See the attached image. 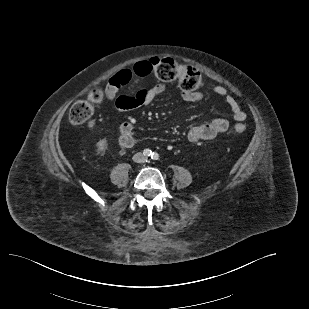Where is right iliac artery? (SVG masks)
<instances>
[{
	"instance_id": "1",
	"label": "right iliac artery",
	"mask_w": 309,
	"mask_h": 309,
	"mask_svg": "<svg viewBox=\"0 0 309 309\" xmlns=\"http://www.w3.org/2000/svg\"><path fill=\"white\" fill-rule=\"evenodd\" d=\"M143 154L147 157H150L153 153L150 149H144Z\"/></svg>"
}]
</instances>
